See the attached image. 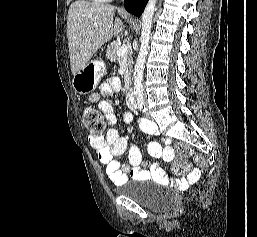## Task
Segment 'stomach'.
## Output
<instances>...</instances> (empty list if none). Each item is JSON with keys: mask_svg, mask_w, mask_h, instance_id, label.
I'll list each match as a JSON object with an SVG mask.
<instances>
[{"mask_svg": "<svg viewBox=\"0 0 257 237\" xmlns=\"http://www.w3.org/2000/svg\"><path fill=\"white\" fill-rule=\"evenodd\" d=\"M105 73L102 62L97 60L89 61L73 77L72 86L76 93L85 95L92 92L98 85Z\"/></svg>", "mask_w": 257, "mask_h": 237, "instance_id": "1", "label": "stomach"}]
</instances>
